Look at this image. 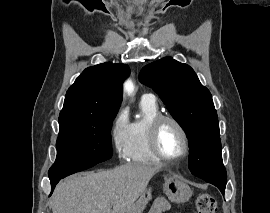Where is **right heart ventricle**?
<instances>
[{
    "instance_id": "obj_1",
    "label": "right heart ventricle",
    "mask_w": 270,
    "mask_h": 213,
    "mask_svg": "<svg viewBox=\"0 0 270 213\" xmlns=\"http://www.w3.org/2000/svg\"><path fill=\"white\" fill-rule=\"evenodd\" d=\"M140 108L142 117L129 123L125 159L135 164L155 163L159 159L149 148L148 130L151 121L160 114L159 107L155 100L141 98Z\"/></svg>"
}]
</instances>
